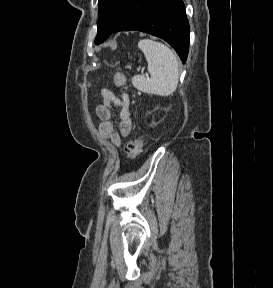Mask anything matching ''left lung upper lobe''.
<instances>
[{"label": "left lung upper lobe", "instance_id": "obj_1", "mask_svg": "<svg viewBox=\"0 0 273 288\" xmlns=\"http://www.w3.org/2000/svg\"><path fill=\"white\" fill-rule=\"evenodd\" d=\"M133 0H99L98 1V32L96 44L102 43L111 33L115 32L120 19L127 12Z\"/></svg>", "mask_w": 273, "mask_h": 288}]
</instances>
